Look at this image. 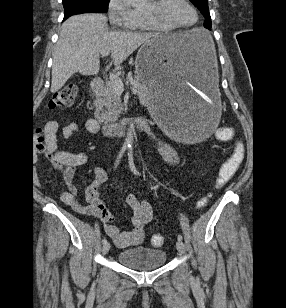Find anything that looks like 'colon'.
<instances>
[{"instance_id":"colon-1","label":"colon","mask_w":286,"mask_h":308,"mask_svg":"<svg viewBox=\"0 0 286 308\" xmlns=\"http://www.w3.org/2000/svg\"><path fill=\"white\" fill-rule=\"evenodd\" d=\"M78 93L76 85H68L60 89L54 94L49 102L50 108H69L73 105ZM216 137L224 142L231 141L234 137V129L232 127H222L216 132ZM36 148L39 153L45 156H51L53 148L47 142L44 136H38L36 142ZM244 158V149L241 144H236L231 155L224 161L219 169L218 176L216 178V186L222 187L227 184L237 173ZM205 203L204 200L199 202L202 206ZM151 244L153 247H161L164 244V238L160 234H155L151 237Z\"/></svg>"}]
</instances>
